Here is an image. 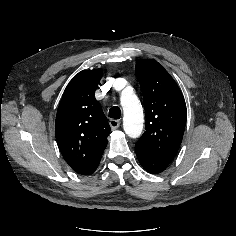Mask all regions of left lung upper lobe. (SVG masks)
<instances>
[{
	"mask_svg": "<svg viewBox=\"0 0 236 236\" xmlns=\"http://www.w3.org/2000/svg\"><path fill=\"white\" fill-rule=\"evenodd\" d=\"M136 73L144 99L146 123L135 150L170 163L178 152L185 130L184 97L174 79L157 61H138Z\"/></svg>",
	"mask_w": 236,
	"mask_h": 236,
	"instance_id": "obj_1",
	"label": "left lung upper lobe"
}]
</instances>
